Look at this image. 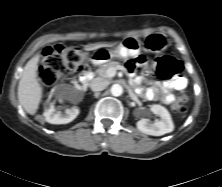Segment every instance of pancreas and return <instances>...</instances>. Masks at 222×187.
Here are the masks:
<instances>
[{
	"label": "pancreas",
	"instance_id": "1",
	"mask_svg": "<svg viewBox=\"0 0 222 187\" xmlns=\"http://www.w3.org/2000/svg\"><path fill=\"white\" fill-rule=\"evenodd\" d=\"M114 68V69H118L120 68V64L116 61H112L106 64H103L97 71L96 73L103 77V78H109L110 76L108 75V70Z\"/></svg>",
	"mask_w": 222,
	"mask_h": 187
}]
</instances>
